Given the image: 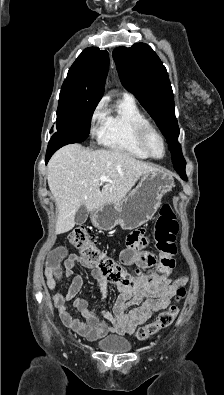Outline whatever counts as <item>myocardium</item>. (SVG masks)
<instances>
[{
    "instance_id": "myocardium-1",
    "label": "myocardium",
    "mask_w": 224,
    "mask_h": 395,
    "mask_svg": "<svg viewBox=\"0 0 224 395\" xmlns=\"http://www.w3.org/2000/svg\"><path fill=\"white\" fill-rule=\"evenodd\" d=\"M154 134L156 135L160 140L163 145V155L158 157L153 152L151 151L149 144H148V139L149 135ZM135 136L137 143L139 146L147 153V155L151 158L154 159H162L165 157L166 152H167V146H166V141L162 133L153 125L151 122L145 120L136 125L135 128Z\"/></svg>"
}]
</instances>
